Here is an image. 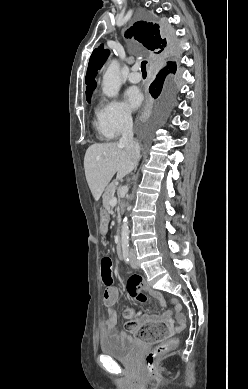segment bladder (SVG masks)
<instances>
[{
	"mask_svg": "<svg viewBox=\"0 0 248 389\" xmlns=\"http://www.w3.org/2000/svg\"><path fill=\"white\" fill-rule=\"evenodd\" d=\"M137 349V343L119 333L102 336L99 340L100 352L117 359H131Z\"/></svg>",
	"mask_w": 248,
	"mask_h": 389,
	"instance_id": "1",
	"label": "bladder"
}]
</instances>
